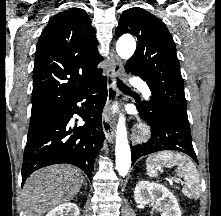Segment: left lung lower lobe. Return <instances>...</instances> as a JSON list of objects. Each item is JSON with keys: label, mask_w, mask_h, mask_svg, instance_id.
<instances>
[{"label": "left lung lower lobe", "mask_w": 221, "mask_h": 216, "mask_svg": "<svg viewBox=\"0 0 221 216\" xmlns=\"http://www.w3.org/2000/svg\"><path fill=\"white\" fill-rule=\"evenodd\" d=\"M140 115L151 126V139L131 146L132 164L140 157L162 150H176L191 156L197 163L189 124L163 111L138 106Z\"/></svg>", "instance_id": "1"}]
</instances>
